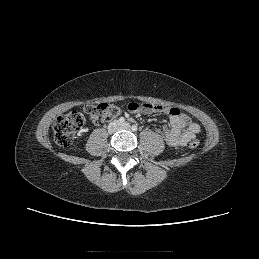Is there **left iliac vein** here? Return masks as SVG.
Returning <instances> with one entry per match:
<instances>
[{
  "mask_svg": "<svg viewBox=\"0 0 259 259\" xmlns=\"http://www.w3.org/2000/svg\"><path fill=\"white\" fill-rule=\"evenodd\" d=\"M120 128L121 129H126V130H129L131 128L130 124L125 122L123 124L120 125Z\"/></svg>",
  "mask_w": 259,
  "mask_h": 259,
  "instance_id": "obj_1",
  "label": "left iliac vein"
}]
</instances>
